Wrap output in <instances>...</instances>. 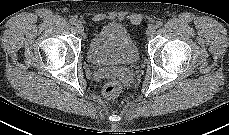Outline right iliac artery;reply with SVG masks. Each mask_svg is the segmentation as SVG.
I'll return each instance as SVG.
<instances>
[{"label":"right iliac artery","instance_id":"82829eb1","mask_svg":"<svg viewBox=\"0 0 229 135\" xmlns=\"http://www.w3.org/2000/svg\"><path fill=\"white\" fill-rule=\"evenodd\" d=\"M70 23L73 24V25H75L77 23V20L75 18H71L70 19Z\"/></svg>","mask_w":229,"mask_h":135}]
</instances>
